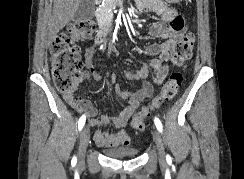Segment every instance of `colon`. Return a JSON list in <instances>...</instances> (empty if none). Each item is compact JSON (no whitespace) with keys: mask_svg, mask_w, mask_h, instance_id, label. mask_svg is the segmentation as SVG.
<instances>
[{"mask_svg":"<svg viewBox=\"0 0 244 179\" xmlns=\"http://www.w3.org/2000/svg\"><path fill=\"white\" fill-rule=\"evenodd\" d=\"M177 2L178 0H167V3ZM94 28V23L88 19L71 23L66 27L65 31L57 36L53 43L51 48L52 76L59 91L72 93L77 88L80 74L83 72L85 64L80 56V47L74 40L78 37L85 38L90 36ZM194 43V35L188 33L175 45L172 55L174 65H180L191 58ZM181 83L182 75L173 74L161 91L132 116V127L135 130L142 131L146 118L163 104L171 101L175 97Z\"/></svg>","mask_w":244,"mask_h":179,"instance_id":"1","label":"colon"}]
</instances>
